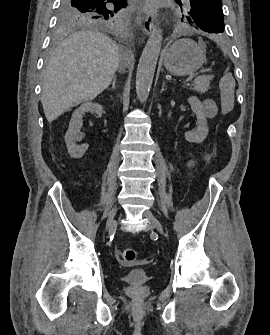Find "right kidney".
I'll use <instances>...</instances> for the list:
<instances>
[{"label":"right kidney","mask_w":270,"mask_h":335,"mask_svg":"<svg viewBox=\"0 0 270 335\" xmlns=\"http://www.w3.org/2000/svg\"><path fill=\"white\" fill-rule=\"evenodd\" d=\"M85 112H95L101 118L103 114V108L100 104H93V102H84L81 104L80 108H77L72 114V118L69 122V128L65 134V144L67 146L68 154L71 158H82L86 150L89 148V144H82V146H77L75 140L77 136H82L79 132L82 124V116Z\"/></svg>","instance_id":"1"}]
</instances>
